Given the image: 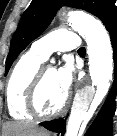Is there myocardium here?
Returning <instances> with one entry per match:
<instances>
[{
    "label": "myocardium",
    "instance_id": "myocardium-1",
    "mask_svg": "<svg viewBox=\"0 0 117 136\" xmlns=\"http://www.w3.org/2000/svg\"><path fill=\"white\" fill-rule=\"evenodd\" d=\"M47 67L46 68H40V70L37 72L33 82L31 83L28 93H27V110L30 112L32 116H35L40 119H50L53 117H56L60 114H62L67 107L69 106L70 103V95L67 93L64 102L62 105L56 109L53 112H43L39 106V101H38V95L39 91L42 87L44 78H45V73H46Z\"/></svg>",
    "mask_w": 117,
    "mask_h": 136
}]
</instances>
